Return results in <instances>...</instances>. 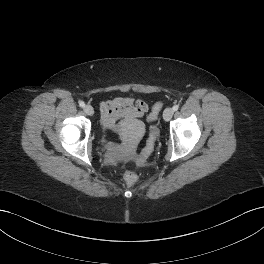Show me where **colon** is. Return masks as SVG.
I'll list each match as a JSON object with an SVG mask.
<instances>
[{"mask_svg": "<svg viewBox=\"0 0 264 264\" xmlns=\"http://www.w3.org/2000/svg\"><path fill=\"white\" fill-rule=\"evenodd\" d=\"M162 108V102L159 101L155 103V105L152 108V111L150 112L148 116L149 122H154L159 114L160 109ZM155 133L152 131L148 137L146 147L144 148L142 155H141V163H143L146 158L149 156V154L152 152L154 144H155ZM138 179V174L135 171L128 170L124 173V181L127 185H133Z\"/></svg>", "mask_w": 264, "mask_h": 264, "instance_id": "1", "label": "colon"}]
</instances>
